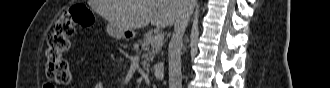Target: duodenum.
Wrapping results in <instances>:
<instances>
[{
  "instance_id": "410a0bca",
  "label": "duodenum",
  "mask_w": 330,
  "mask_h": 88,
  "mask_svg": "<svg viewBox=\"0 0 330 88\" xmlns=\"http://www.w3.org/2000/svg\"><path fill=\"white\" fill-rule=\"evenodd\" d=\"M164 65L157 63L152 66V73L157 79H161L164 76Z\"/></svg>"
}]
</instances>
